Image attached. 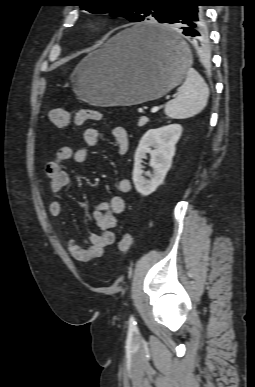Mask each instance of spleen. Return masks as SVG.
<instances>
[{"mask_svg":"<svg viewBox=\"0 0 255 387\" xmlns=\"http://www.w3.org/2000/svg\"><path fill=\"white\" fill-rule=\"evenodd\" d=\"M209 89L199 73L188 68L186 79L178 89L175 99L165 107V114L172 119H186L200 113L207 105Z\"/></svg>","mask_w":255,"mask_h":387,"instance_id":"spleen-1","label":"spleen"}]
</instances>
